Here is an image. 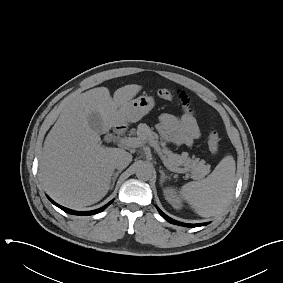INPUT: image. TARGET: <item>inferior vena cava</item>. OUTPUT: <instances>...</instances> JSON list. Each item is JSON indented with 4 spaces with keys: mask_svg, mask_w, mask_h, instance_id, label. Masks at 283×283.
<instances>
[{
    "mask_svg": "<svg viewBox=\"0 0 283 283\" xmlns=\"http://www.w3.org/2000/svg\"><path fill=\"white\" fill-rule=\"evenodd\" d=\"M132 161V155L125 150L120 151L113 159L114 167L118 170H123Z\"/></svg>",
    "mask_w": 283,
    "mask_h": 283,
    "instance_id": "inferior-vena-cava-1",
    "label": "inferior vena cava"
}]
</instances>
